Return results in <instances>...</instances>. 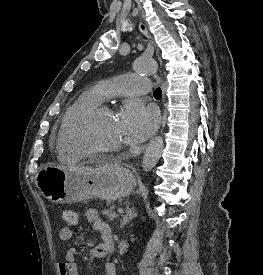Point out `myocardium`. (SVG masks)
<instances>
[{"label":"myocardium","mask_w":263,"mask_h":275,"mask_svg":"<svg viewBox=\"0 0 263 275\" xmlns=\"http://www.w3.org/2000/svg\"><path fill=\"white\" fill-rule=\"evenodd\" d=\"M105 114H114V110L107 105L98 104L86 110L80 116H78V118L75 120L72 127L70 128L69 132L67 133L66 135L67 140L72 145V147L76 149L81 155L83 156L113 155V154L119 153L123 149V146H115L110 148L88 147L82 144L77 139V133L84 125Z\"/></svg>","instance_id":"myocardium-1"}]
</instances>
